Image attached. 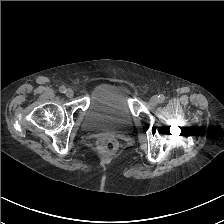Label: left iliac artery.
Listing matches in <instances>:
<instances>
[{"label": "left iliac artery", "mask_w": 224, "mask_h": 224, "mask_svg": "<svg viewBox=\"0 0 224 224\" xmlns=\"http://www.w3.org/2000/svg\"><path fill=\"white\" fill-rule=\"evenodd\" d=\"M158 97H159V101L160 102H163L165 100V96L164 95H159Z\"/></svg>", "instance_id": "44dca946"}]
</instances>
